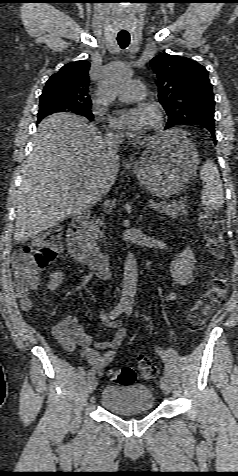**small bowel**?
<instances>
[{
    "label": "small bowel",
    "instance_id": "small-bowel-1",
    "mask_svg": "<svg viewBox=\"0 0 238 476\" xmlns=\"http://www.w3.org/2000/svg\"><path fill=\"white\" fill-rule=\"evenodd\" d=\"M66 276L62 269H57L50 273L47 281V289L55 290L65 284ZM175 295H170L174 299ZM112 327H118L119 322L110 324ZM55 336L61 342L67 351H72L75 347H80L83 358L90 364L96 373H101L106 366L113 360L116 350L126 338L127 332L120 328L112 339L97 342L91 347L92 338L88 335L83 325L72 316L62 319L53 329Z\"/></svg>",
    "mask_w": 238,
    "mask_h": 476
}]
</instances>
